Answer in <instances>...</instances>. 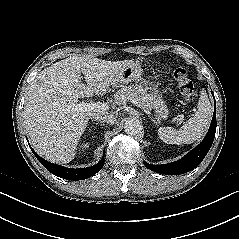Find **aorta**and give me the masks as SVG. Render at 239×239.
Instances as JSON below:
<instances>
[{
  "label": "aorta",
  "mask_w": 239,
  "mask_h": 239,
  "mask_svg": "<svg viewBox=\"0 0 239 239\" xmlns=\"http://www.w3.org/2000/svg\"><path fill=\"white\" fill-rule=\"evenodd\" d=\"M124 130L127 134L138 135L142 132L143 126L140 120L133 118L126 121Z\"/></svg>",
  "instance_id": "1"
}]
</instances>
